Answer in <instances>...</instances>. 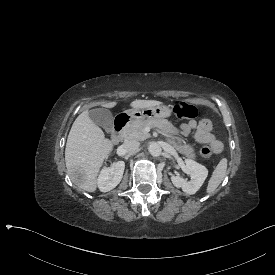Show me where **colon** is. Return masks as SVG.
<instances>
[{
	"label": "colon",
	"mask_w": 275,
	"mask_h": 275,
	"mask_svg": "<svg viewBox=\"0 0 275 275\" xmlns=\"http://www.w3.org/2000/svg\"><path fill=\"white\" fill-rule=\"evenodd\" d=\"M201 111L203 113H208L210 111V106L208 104H203L201 106ZM173 112L177 118L194 119L198 114V109L195 105L182 101L175 104ZM199 155L203 158H210L212 151L210 147L202 146L199 148Z\"/></svg>",
	"instance_id": "5ec220e1"
}]
</instances>
